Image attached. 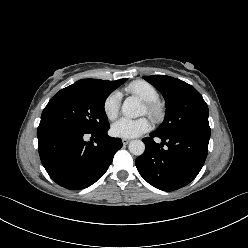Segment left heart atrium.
Masks as SVG:
<instances>
[{
  "label": "left heart atrium",
  "mask_w": 248,
  "mask_h": 248,
  "mask_svg": "<svg viewBox=\"0 0 248 248\" xmlns=\"http://www.w3.org/2000/svg\"><path fill=\"white\" fill-rule=\"evenodd\" d=\"M151 129L147 118L129 119L120 118L111 127L112 134L121 138H135Z\"/></svg>",
  "instance_id": "1"
}]
</instances>
